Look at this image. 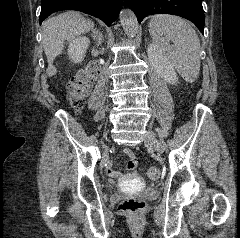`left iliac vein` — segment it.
<instances>
[{"label":"left iliac vein","mask_w":240,"mask_h":238,"mask_svg":"<svg viewBox=\"0 0 240 238\" xmlns=\"http://www.w3.org/2000/svg\"><path fill=\"white\" fill-rule=\"evenodd\" d=\"M144 142L148 147L153 148L158 152H162L166 148V144L165 146H160L159 144L160 141H158V139L156 138V135L151 130L147 131Z\"/></svg>","instance_id":"1"}]
</instances>
